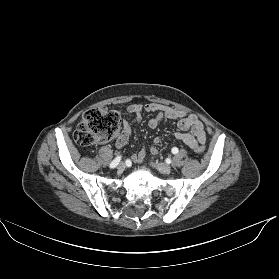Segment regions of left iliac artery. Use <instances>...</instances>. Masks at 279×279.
Segmentation results:
<instances>
[{"label":"left iliac artery","mask_w":279,"mask_h":279,"mask_svg":"<svg viewBox=\"0 0 279 279\" xmlns=\"http://www.w3.org/2000/svg\"><path fill=\"white\" fill-rule=\"evenodd\" d=\"M171 151H172L173 154H177L178 153V148L177 147H173Z\"/></svg>","instance_id":"1"}]
</instances>
